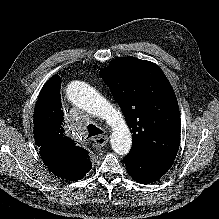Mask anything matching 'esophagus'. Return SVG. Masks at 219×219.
<instances>
[{"label": "esophagus", "mask_w": 219, "mask_h": 219, "mask_svg": "<svg viewBox=\"0 0 219 219\" xmlns=\"http://www.w3.org/2000/svg\"><path fill=\"white\" fill-rule=\"evenodd\" d=\"M108 142V136L107 135H100V136H97L95 139H94V142H93V147L95 148H101L103 146H105Z\"/></svg>", "instance_id": "34e87169"}]
</instances>
